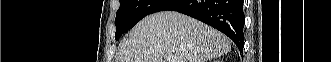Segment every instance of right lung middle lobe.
<instances>
[{
    "mask_svg": "<svg viewBox=\"0 0 331 62\" xmlns=\"http://www.w3.org/2000/svg\"><path fill=\"white\" fill-rule=\"evenodd\" d=\"M120 8L116 13L115 39L132 28L145 16L162 11L176 0H119Z\"/></svg>",
    "mask_w": 331,
    "mask_h": 62,
    "instance_id": "1",
    "label": "right lung middle lobe"
}]
</instances>
